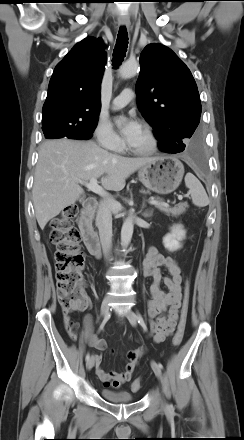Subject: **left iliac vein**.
<instances>
[{
	"label": "left iliac vein",
	"mask_w": 244,
	"mask_h": 440,
	"mask_svg": "<svg viewBox=\"0 0 244 440\" xmlns=\"http://www.w3.org/2000/svg\"><path fill=\"white\" fill-rule=\"evenodd\" d=\"M126 316H127L128 320H129V322L131 323V325L135 326L137 324V316H136L134 311L128 310L126 312ZM151 367H152V370L154 371L155 375L159 379H161L162 378L161 369L158 367V365L154 361L151 362ZM163 406L167 407V404L164 403Z\"/></svg>",
	"instance_id": "4c4485c4"
}]
</instances>
